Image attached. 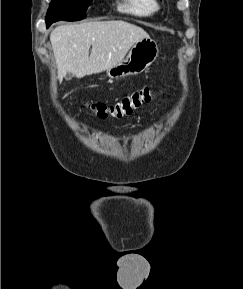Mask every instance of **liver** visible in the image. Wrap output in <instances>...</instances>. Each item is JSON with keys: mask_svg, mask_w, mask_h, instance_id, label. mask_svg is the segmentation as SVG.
I'll use <instances>...</instances> for the list:
<instances>
[{"mask_svg": "<svg viewBox=\"0 0 243 289\" xmlns=\"http://www.w3.org/2000/svg\"><path fill=\"white\" fill-rule=\"evenodd\" d=\"M148 37L141 27L121 20L58 26L50 41L59 81L67 73L82 78L105 71L122 61L137 41Z\"/></svg>", "mask_w": 243, "mask_h": 289, "instance_id": "liver-1", "label": "liver"}]
</instances>
